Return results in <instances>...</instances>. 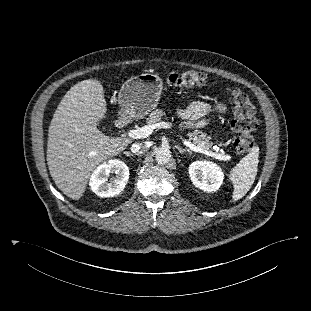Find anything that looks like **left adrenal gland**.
<instances>
[{
	"mask_svg": "<svg viewBox=\"0 0 311 311\" xmlns=\"http://www.w3.org/2000/svg\"><path fill=\"white\" fill-rule=\"evenodd\" d=\"M175 148L178 149L179 153L180 154H183L185 152L189 153L190 155H192V152L191 150L187 149V148H182L181 146L179 145H175Z\"/></svg>",
	"mask_w": 311,
	"mask_h": 311,
	"instance_id": "obj_1",
	"label": "left adrenal gland"
}]
</instances>
